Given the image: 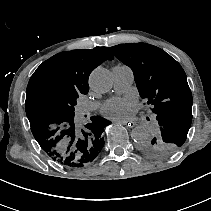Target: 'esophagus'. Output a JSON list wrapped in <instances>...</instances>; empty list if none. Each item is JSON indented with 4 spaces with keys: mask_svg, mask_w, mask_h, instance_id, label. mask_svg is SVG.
I'll return each mask as SVG.
<instances>
[{
    "mask_svg": "<svg viewBox=\"0 0 211 211\" xmlns=\"http://www.w3.org/2000/svg\"><path fill=\"white\" fill-rule=\"evenodd\" d=\"M119 124H123V125H127L128 129H133L135 122L131 121V120H118L116 121Z\"/></svg>",
    "mask_w": 211,
    "mask_h": 211,
    "instance_id": "34e87169",
    "label": "esophagus"
}]
</instances>
